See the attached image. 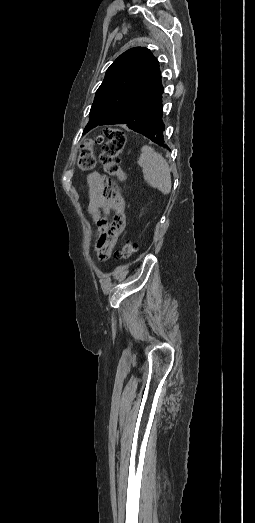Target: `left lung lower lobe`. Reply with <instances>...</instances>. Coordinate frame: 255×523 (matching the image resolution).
Returning a JSON list of instances; mask_svg holds the SVG:
<instances>
[{
  "label": "left lung lower lobe",
  "mask_w": 255,
  "mask_h": 523,
  "mask_svg": "<svg viewBox=\"0 0 255 523\" xmlns=\"http://www.w3.org/2000/svg\"><path fill=\"white\" fill-rule=\"evenodd\" d=\"M165 124L161 122V124L151 125V127H143V130H137V132H142V135L144 137H148V140L152 144H156L157 146H160L162 150H167L169 148V145L165 143Z\"/></svg>",
  "instance_id": "0a47b994"
}]
</instances>
